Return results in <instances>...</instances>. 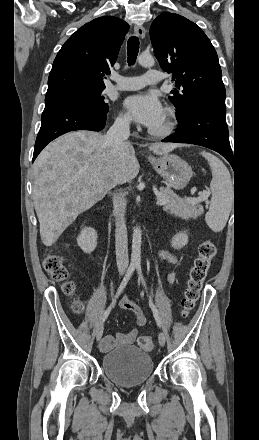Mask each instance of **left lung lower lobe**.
Here are the masks:
<instances>
[{
    "label": "left lung lower lobe",
    "mask_w": 259,
    "mask_h": 440,
    "mask_svg": "<svg viewBox=\"0 0 259 440\" xmlns=\"http://www.w3.org/2000/svg\"><path fill=\"white\" fill-rule=\"evenodd\" d=\"M225 103L201 100L191 106L177 131L162 142L189 143L207 147L225 157L233 167V154L226 124Z\"/></svg>",
    "instance_id": "0a47b994"
}]
</instances>
